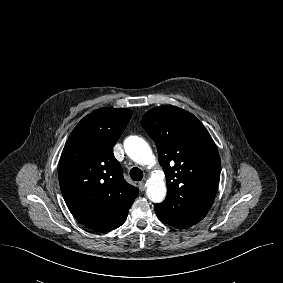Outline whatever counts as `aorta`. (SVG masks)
Here are the masks:
<instances>
[{
	"instance_id": "762f6f07",
	"label": "aorta",
	"mask_w": 283,
	"mask_h": 283,
	"mask_svg": "<svg viewBox=\"0 0 283 283\" xmlns=\"http://www.w3.org/2000/svg\"><path fill=\"white\" fill-rule=\"evenodd\" d=\"M126 154L140 165H151L154 162L153 152L148 143L138 136H129L124 141ZM166 184L163 175H153L146 183V194L154 203H161L166 196Z\"/></svg>"
}]
</instances>
